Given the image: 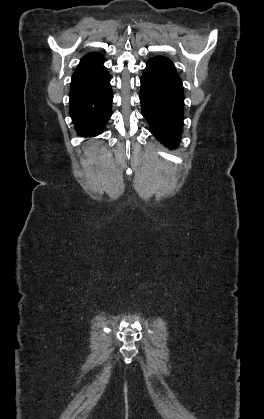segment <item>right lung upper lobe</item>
Masks as SVG:
<instances>
[{"mask_svg":"<svg viewBox=\"0 0 264 419\" xmlns=\"http://www.w3.org/2000/svg\"><path fill=\"white\" fill-rule=\"evenodd\" d=\"M104 58L100 53H90L84 56L72 76L71 85L89 84L100 79L105 73Z\"/></svg>","mask_w":264,"mask_h":419,"instance_id":"obj_1","label":"right lung upper lobe"}]
</instances>
